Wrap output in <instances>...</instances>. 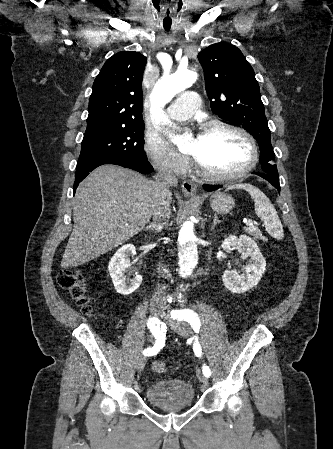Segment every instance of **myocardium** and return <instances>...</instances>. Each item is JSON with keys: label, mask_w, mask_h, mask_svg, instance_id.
<instances>
[{"label": "myocardium", "mask_w": 333, "mask_h": 449, "mask_svg": "<svg viewBox=\"0 0 333 449\" xmlns=\"http://www.w3.org/2000/svg\"><path fill=\"white\" fill-rule=\"evenodd\" d=\"M213 131H229L231 133L241 136L249 145L250 148V160L241 169L227 173L218 174L209 171L205 166L194 156H192L193 164L195 165L197 171L206 179L213 182H227L243 177L244 175L251 172L257 165L259 154L258 147L254 137L245 129L229 124L222 121L209 122L203 125L202 132H213Z\"/></svg>", "instance_id": "obj_1"}]
</instances>
